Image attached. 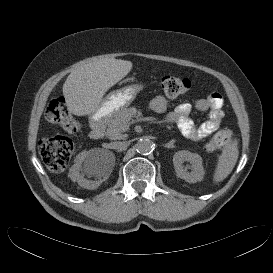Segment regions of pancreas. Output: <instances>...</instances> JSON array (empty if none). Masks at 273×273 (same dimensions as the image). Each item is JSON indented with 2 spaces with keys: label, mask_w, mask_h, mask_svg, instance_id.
<instances>
[{
  "label": "pancreas",
  "mask_w": 273,
  "mask_h": 273,
  "mask_svg": "<svg viewBox=\"0 0 273 273\" xmlns=\"http://www.w3.org/2000/svg\"><path fill=\"white\" fill-rule=\"evenodd\" d=\"M140 115V111H138L135 107L124 108L120 110L112 119L109 124L106 137L111 140L125 139L127 137L126 134H123L127 131L129 127V121L133 117H138Z\"/></svg>",
  "instance_id": "cf45deb5"
}]
</instances>
